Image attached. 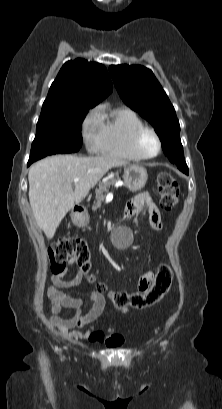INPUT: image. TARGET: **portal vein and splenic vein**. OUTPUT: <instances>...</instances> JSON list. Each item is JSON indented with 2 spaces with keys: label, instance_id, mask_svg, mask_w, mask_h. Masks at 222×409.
<instances>
[{
  "label": "portal vein and splenic vein",
  "instance_id": "1",
  "mask_svg": "<svg viewBox=\"0 0 222 409\" xmlns=\"http://www.w3.org/2000/svg\"><path fill=\"white\" fill-rule=\"evenodd\" d=\"M79 180H80V178H79V177H77V178H74V183H77V182H79Z\"/></svg>",
  "mask_w": 222,
  "mask_h": 409
}]
</instances>
